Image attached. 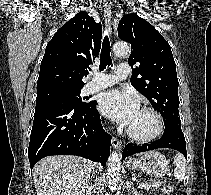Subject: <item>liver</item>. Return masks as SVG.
I'll list each match as a JSON object with an SVG mask.
<instances>
[{
	"mask_svg": "<svg viewBox=\"0 0 211 195\" xmlns=\"http://www.w3.org/2000/svg\"><path fill=\"white\" fill-rule=\"evenodd\" d=\"M92 168L89 160L78 156H47L33 169L37 195H85Z\"/></svg>",
	"mask_w": 211,
	"mask_h": 195,
	"instance_id": "1",
	"label": "liver"
}]
</instances>
